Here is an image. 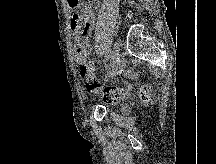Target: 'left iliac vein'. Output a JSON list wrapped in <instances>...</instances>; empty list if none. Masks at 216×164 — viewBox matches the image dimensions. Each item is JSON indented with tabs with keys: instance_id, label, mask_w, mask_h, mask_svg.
Masks as SVG:
<instances>
[{
	"instance_id": "left-iliac-vein-1",
	"label": "left iliac vein",
	"mask_w": 216,
	"mask_h": 164,
	"mask_svg": "<svg viewBox=\"0 0 216 164\" xmlns=\"http://www.w3.org/2000/svg\"><path fill=\"white\" fill-rule=\"evenodd\" d=\"M112 59L115 60L117 63L115 65L112 64V68L110 72L108 73V77H113L116 71L122 67V64L120 61V45L118 42H115L113 45Z\"/></svg>"
}]
</instances>
